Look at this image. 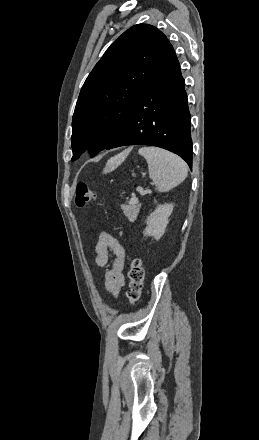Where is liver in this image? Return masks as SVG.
<instances>
[{
  "mask_svg": "<svg viewBox=\"0 0 259 440\" xmlns=\"http://www.w3.org/2000/svg\"><path fill=\"white\" fill-rule=\"evenodd\" d=\"M129 151L130 150H127V151L109 159L104 171L108 172V171H111V170H114L115 168H117L124 161V159L126 158V156L129 153Z\"/></svg>",
  "mask_w": 259,
  "mask_h": 440,
  "instance_id": "1",
  "label": "liver"
}]
</instances>
